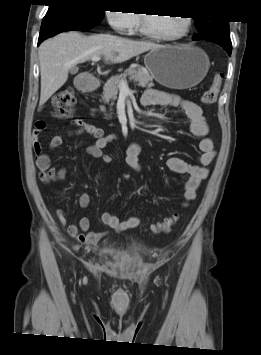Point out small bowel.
Segmentation results:
<instances>
[{
    "mask_svg": "<svg viewBox=\"0 0 261 355\" xmlns=\"http://www.w3.org/2000/svg\"><path fill=\"white\" fill-rule=\"evenodd\" d=\"M142 103L146 106L162 105L181 108L190 121V132L198 138L197 164H189L182 159L171 156L167 158V166L176 172H184L188 175V179L184 184L183 206L195 199L196 191L208 174V165L212 163L215 157V150L210 138L207 137L209 132L208 123L203 115L202 108L195 102L181 98L178 95L170 94L157 89H147L142 96ZM74 130L70 135L89 134L94 138L93 144L85 148V152L93 158L101 159L106 165L110 164L112 158L105 154L103 149L115 142L118 136L115 134H105L101 128H98L82 119H75L72 121ZM46 123L37 121L32 131L31 140L33 143V150L35 154V163L39 170V180L43 184L49 185L61 182L65 179L67 171L64 168L56 169L51 166L50 156L44 152L39 136L45 129ZM65 135L59 134L54 136L49 142V148L55 149L63 143ZM141 153V145L134 141L130 143L126 151V162L136 172L142 171V166L139 161ZM79 205L86 209L91 203V196L87 192H83L79 196ZM56 216L60 223L66 227L68 234L77 241L86 245L97 244L106 233H96L90 231L91 221L87 216L79 219L77 224L68 225L66 212L62 208L56 210ZM101 221L111 229L120 232L128 229L136 228L140 225L141 219L133 216L121 221L116 213L104 212L101 215Z\"/></svg>",
    "mask_w": 261,
    "mask_h": 355,
    "instance_id": "small-bowel-1",
    "label": "small bowel"
}]
</instances>
